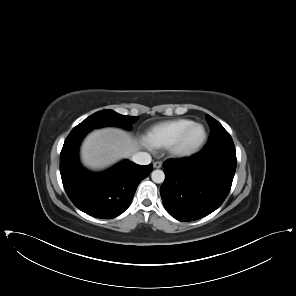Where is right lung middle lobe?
<instances>
[{"label":"right lung middle lobe","instance_id":"obj_1","mask_svg":"<svg viewBox=\"0 0 296 296\" xmlns=\"http://www.w3.org/2000/svg\"><path fill=\"white\" fill-rule=\"evenodd\" d=\"M139 116H124L114 112L113 110H101L98 111L79 125H77L73 130L74 131H90L94 128H99L103 126H119L125 129H131L132 122L137 119Z\"/></svg>","mask_w":296,"mask_h":296}]
</instances>
